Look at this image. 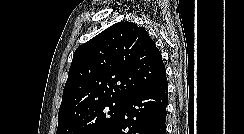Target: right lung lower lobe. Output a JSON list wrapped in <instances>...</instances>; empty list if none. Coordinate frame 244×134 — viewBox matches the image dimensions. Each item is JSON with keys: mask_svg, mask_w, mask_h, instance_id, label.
I'll use <instances>...</instances> for the list:
<instances>
[{"mask_svg": "<svg viewBox=\"0 0 244 134\" xmlns=\"http://www.w3.org/2000/svg\"><path fill=\"white\" fill-rule=\"evenodd\" d=\"M168 83L156 84L129 96L115 122L104 134H166Z\"/></svg>", "mask_w": 244, "mask_h": 134, "instance_id": "1", "label": "right lung lower lobe"}]
</instances>
